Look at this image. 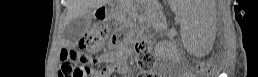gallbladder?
<instances>
[{
    "mask_svg": "<svg viewBox=\"0 0 258 77\" xmlns=\"http://www.w3.org/2000/svg\"><path fill=\"white\" fill-rule=\"evenodd\" d=\"M92 19V13L89 12L85 16L73 19L64 29V38L69 42L78 41L89 27Z\"/></svg>",
    "mask_w": 258,
    "mask_h": 77,
    "instance_id": "gallbladder-1",
    "label": "gallbladder"
}]
</instances>
